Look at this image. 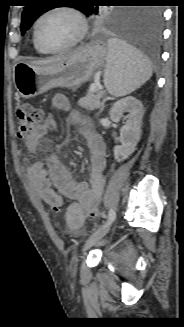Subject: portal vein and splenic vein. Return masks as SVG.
<instances>
[{
    "label": "portal vein and splenic vein",
    "mask_w": 184,
    "mask_h": 327,
    "mask_svg": "<svg viewBox=\"0 0 184 327\" xmlns=\"http://www.w3.org/2000/svg\"><path fill=\"white\" fill-rule=\"evenodd\" d=\"M97 89H99V86L96 85V84H93V85H91V87H90V90H91V91H95V90H97Z\"/></svg>",
    "instance_id": "1"
}]
</instances>
